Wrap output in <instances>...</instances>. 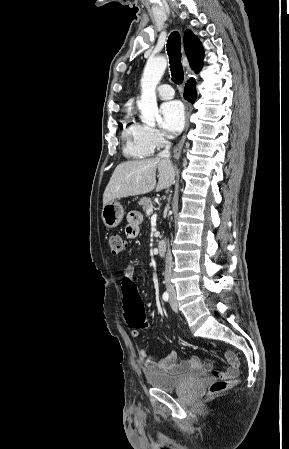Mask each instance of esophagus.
<instances>
[{"instance_id": "1", "label": "esophagus", "mask_w": 289, "mask_h": 449, "mask_svg": "<svg viewBox=\"0 0 289 449\" xmlns=\"http://www.w3.org/2000/svg\"><path fill=\"white\" fill-rule=\"evenodd\" d=\"M191 111H192L191 104L190 103H186V126H185V132H184L181 140L177 144V146L174 148L173 156L175 158H178L180 156V154H181V151H182L185 139H186V132H187V130L189 128V117H190Z\"/></svg>"}]
</instances>
